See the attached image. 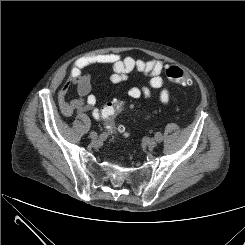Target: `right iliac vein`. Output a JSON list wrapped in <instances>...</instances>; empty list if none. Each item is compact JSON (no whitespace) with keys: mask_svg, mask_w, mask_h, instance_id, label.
Segmentation results:
<instances>
[{"mask_svg":"<svg viewBox=\"0 0 245 245\" xmlns=\"http://www.w3.org/2000/svg\"><path fill=\"white\" fill-rule=\"evenodd\" d=\"M89 136H90V138L92 140H96L97 139V133L96 132H91Z\"/></svg>","mask_w":245,"mask_h":245,"instance_id":"63e3f726","label":"right iliac vein"}]
</instances>
